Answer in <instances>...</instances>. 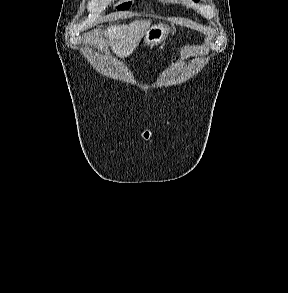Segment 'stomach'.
I'll use <instances>...</instances> for the list:
<instances>
[{
	"mask_svg": "<svg viewBox=\"0 0 288 293\" xmlns=\"http://www.w3.org/2000/svg\"><path fill=\"white\" fill-rule=\"evenodd\" d=\"M169 33L170 27L167 24L156 23L145 33L144 44L150 47L158 44L164 45Z\"/></svg>",
	"mask_w": 288,
	"mask_h": 293,
	"instance_id": "stomach-1",
	"label": "stomach"
}]
</instances>
